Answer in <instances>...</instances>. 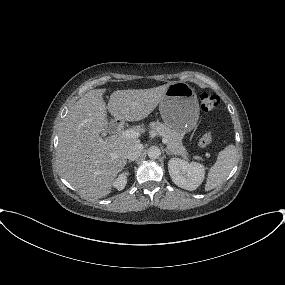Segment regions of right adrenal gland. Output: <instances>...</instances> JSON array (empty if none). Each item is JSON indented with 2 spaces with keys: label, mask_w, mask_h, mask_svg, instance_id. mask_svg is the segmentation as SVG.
<instances>
[{
  "label": "right adrenal gland",
  "mask_w": 285,
  "mask_h": 285,
  "mask_svg": "<svg viewBox=\"0 0 285 285\" xmlns=\"http://www.w3.org/2000/svg\"><path fill=\"white\" fill-rule=\"evenodd\" d=\"M131 162H132V161H128L127 163H131ZM127 163H126V164H127Z\"/></svg>",
  "instance_id": "right-adrenal-gland-1"
}]
</instances>
